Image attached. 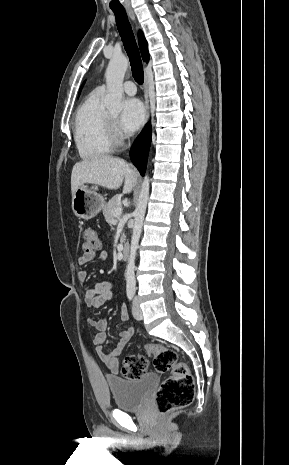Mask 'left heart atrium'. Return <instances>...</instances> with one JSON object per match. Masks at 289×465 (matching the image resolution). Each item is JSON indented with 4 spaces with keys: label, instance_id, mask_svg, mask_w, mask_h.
Here are the masks:
<instances>
[{
    "label": "left heart atrium",
    "instance_id": "39dd6f15",
    "mask_svg": "<svg viewBox=\"0 0 289 465\" xmlns=\"http://www.w3.org/2000/svg\"><path fill=\"white\" fill-rule=\"evenodd\" d=\"M145 118V108L142 102L136 98L124 101L121 115L122 127L129 132L139 129Z\"/></svg>",
    "mask_w": 289,
    "mask_h": 465
}]
</instances>
